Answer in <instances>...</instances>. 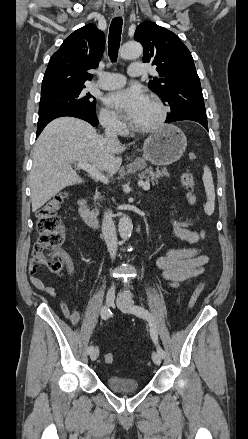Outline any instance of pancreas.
Instances as JSON below:
<instances>
[{
    "mask_svg": "<svg viewBox=\"0 0 248 439\" xmlns=\"http://www.w3.org/2000/svg\"><path fill=\"white\" fill-rule=\"evenodd\" d=\"M168 175V172L166 169H162V170H156L153 171L152 169H148L146 170L143 174H142V178L147 179L148 181H150L153 185L156 184L158 182V179H160L161 177ZM96 199H99V194L95 195Z\"/></svg>",
    "mask_w": 248,
    "mask_h": 439,
    "instance_id": "1",
    "label": "pancreas"
}]
</instances>
